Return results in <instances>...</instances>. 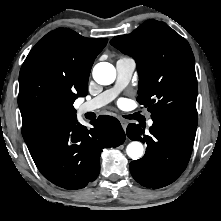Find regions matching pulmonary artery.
Masks as SVG:
<instances>
[{
	"label": "pulmonary artery",
	"instance_id": "e3ab8cb5",
	"mask_svg": "<svg viewBox=\"0 0 221 221\" xmlns=\"http://www.w3.org/2000/svg\"><path fill=\"white\" fill-rule=\"evenodd\" d=\"M135 67L136 63L133 58L120 57L116 62L117 78L114 87L81 104L78 108V113L84 114L87 112H92L111 102L117 96V94L128 85ZM148 125L152 126L153 121L149 120Z\"/></svg>",
	"mask_w": 221,
	"mask_h": 221
}]
</instances>
